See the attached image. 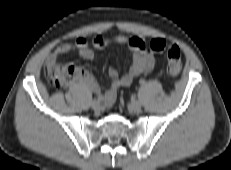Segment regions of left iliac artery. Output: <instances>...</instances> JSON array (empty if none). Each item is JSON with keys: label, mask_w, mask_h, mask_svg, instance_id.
Segmentation results:
<instances>
[{"label": "left iliac artery", "mask_w": 231, "mask_h": 170, "mask_svg": "<svg viewBox=\"0 0 231 170\" xmlns=\"http://www.w3.org/2000/svg\"><path fill=\"white\" fill-rule=\"evenodd\" d=\"M140 83L143 85V84H145V81H144V80H141Z\"/></svg>", "instance_id": "1"}]
</instances>
